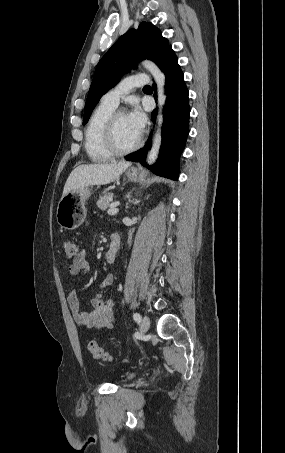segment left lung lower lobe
<instances>
[{
    "instance_id": "1",
    "label": "left lung lower lobe",
    "mask_w": 285,
    "mask_h": 453,
    "mask_svg": "<svg viewBox=\"0 0 285 453\" xmlns=\"http://www.w3.org/2000/svg\"><path fill=\"white\" fill-rule=\"evenodd\" d=\"M159 67L166 76L165 89L167 99L164 107V123L162 127V145L157 163L148 167L157 175L173 180L178 178L179 156L183 151L189 133V99L184 76L178 65V59L172 48L160 61ZM156 90V85H153ZM155 99L157 94L154 93ZM156 110L152 113L155 121ZM151 145V137L149 138ZM148 144L139 151L125 156L128 161L140 162L145 166Z\"/></svg>"
}]
</instances>
